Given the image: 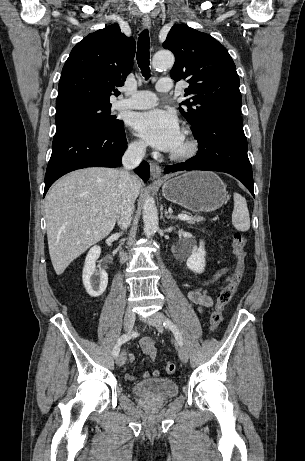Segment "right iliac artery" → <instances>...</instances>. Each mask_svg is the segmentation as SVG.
I'll use <instances>...</instances> for the list:
<instances>
[{
    "label": "right iliac artery",
    "mask_w": 305,
    "mask_h": 461,
    "mask_svg": "<svg viewBox=\"0 0 305 461\" xmlns=\"http://www.w3.org/2000/svg\"><path fill=\"white\" fill-rule=\"evenodd\" d=\"M131 338V335L130 334H123L122 336L119 337L114 349H113V356L114 357H117L119 355V352H120V346L127 342L128 340H130Z\"/></svg>",
    "instance_id": "82829eb1"
}]
</instances>
